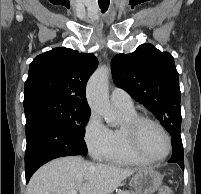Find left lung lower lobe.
Returning <instances> with one entry per match:
<instances>
[{"label": "left lung lower lobe", "instance_id": "0a47b994", "mask_svg": "<svg viewBox=\"0 0 201 194\" xmlns=\"http://www.w3.org/2000/svg\"><path fill=\"white\" fill-rule=\"evenodd\" d=\"M172 135V157L169 160L171 163H177L184 170V153L180 132H173Z\"/></svg>", "mask_w": 201, "mask_h": 194}]
</instances>
